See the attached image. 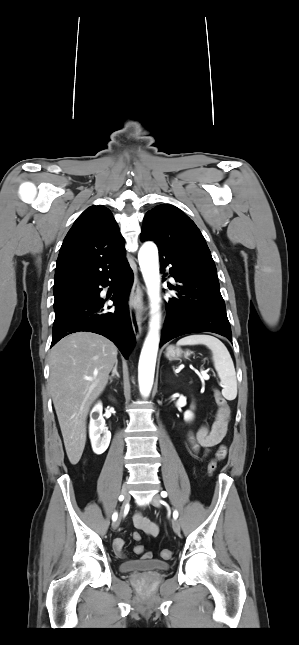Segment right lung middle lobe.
I'll list each match as a JSON object with an SVG mask.
<instances>
[{"instance_id": "right-lung-middle-lobe-1", "label": "right lung middle lobe", "mask_w": 299, "mask_h": 645, "mask_svg": "<svg viewBox=\"0 0 299 645\" xmlns=\"http://www.w3.org/2000/svg\"><path fill=\"white\" fill-rule=\"evenodd\" d=\"M86 289L87 284H80L54 291L55 315L62 312L74 302L82 299L85 296Z\"/></svg>"}]
</instances>
